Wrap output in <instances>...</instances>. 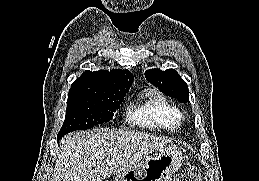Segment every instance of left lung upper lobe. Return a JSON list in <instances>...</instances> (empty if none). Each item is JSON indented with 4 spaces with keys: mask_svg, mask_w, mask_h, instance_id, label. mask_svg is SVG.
I'll use <instances>...</instances> for the list:
<instances>
[{
    "mask_svg": "<svg viewBox=\"0 0 259 181\" xmlns=\"http://www.w3.org/2000/svg\"><path fill=\"white\" fill-rule=\"evenodd\" d=\"M145 77L164 94L178 99L181 103L189 102L188 86L174 69H150L145 72Z\"/></svg>",
    "mask_w": 259,
    "mask_h": 181,
    "instance_id": "1",
    "label": "left lung upper lobe"
}]
</instances>
